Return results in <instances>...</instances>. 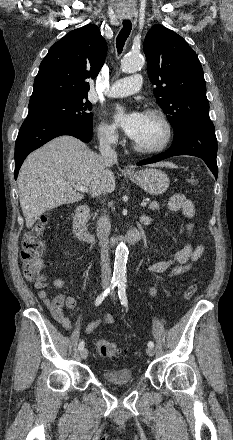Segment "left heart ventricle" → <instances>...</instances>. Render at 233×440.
<instances>
[{
    "label": "left heart ventricle",
    "instance_id": "left-heart-ventricle-1",
    "mask_svg": "<svg viewBox=\"0 0 233 440\" xmlns=\"http://www.w3.org/2000/svg\"><path fill=\"white\" fill-rule=\"evenodd\" d=\"M163 138L164 128L161 123L157 119L145 115L142 128L134 141L144 147H154L160 144Z\"/></svg>",
    "mask_w": 233,
    "mask_h": 440
}]
</instances>
